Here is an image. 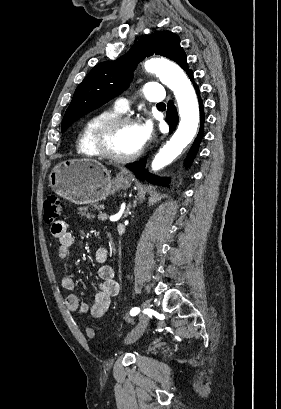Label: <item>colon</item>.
<instances>
[{"instance_id":"5ec220e1","label":"colon","mask_w":281,"mask_h":409,"mask_svg":"<svg viewBox=\"0 0 281 409\" xmlns=\"http://www.w3.org/2000/svg\"><path fill=\"white\" fill-rule=\"evenodd\" d=\"M62 213V202L55 195L47 196L44 199V219L47 222L55 221ZM88 336L93 337L95 332L93 329L87 330Z\"/></svg>"}]
</instances>
